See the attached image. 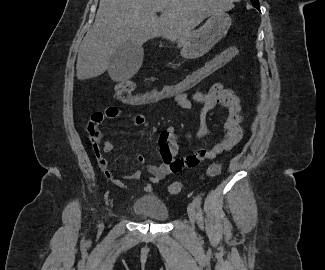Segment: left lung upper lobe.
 I'll return each mask as SVG.
<instances>
[{
	"instance_id": "obj_1",
	"label": "left lung upper lobe",
	"mask_w": 325,
	"mask_h": 270,
	"mask_svg": "<svg viewBox=\"0 0 325 270\" xmlns=\"http://www.w3.org/2000/svg\"><path fill=\"white\" fill-rule=\"evenodd\" d=\"M251 2L253 3V6H254L255 8H260V6H259V1H258V0H251Z\"/></svg>"
}]
</instances>
